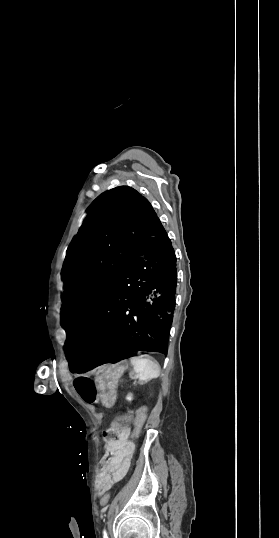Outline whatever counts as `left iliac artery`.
I'll return each mask as SVG.
<instances>
[{"mask_svg":"<svg viewBox=\"0 0 279 538\" xmlns=\"http://www.w3.org/2000/svg\"><path fill=\"white\" fill-rule=\"evenodd\" d=\"M103 537H104V538H108V537H107V533H106L105 530H104V532H103Z\"/></svg>","mask_w":279,"mask_h":538,"instance_id":"obj_1","label":"left iliac artery"}]
</instances>
